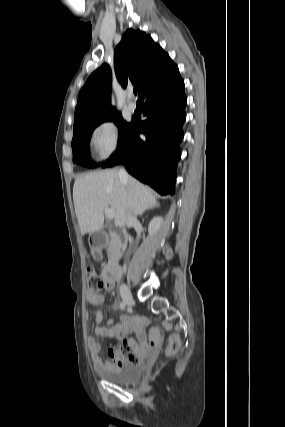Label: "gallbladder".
I'll list each match as a JSON object with an SVG mask.
<instances>
[{
  "mask_svg": "<svg viewBox=\"0 0 285 427\" xmlns=\"http://www.w3.org/2000/svg\"><path fill=\"white\" fill-rule=\"evenodd\" d=\"M96 235V233H94L93 235H92V237H94Z\"/></svg>",
  "mask_w": 285,
  "mask_h": 427,
  "instance_id": "bac80fb5",
  "label": "gallbladder"
}]
</instances>
